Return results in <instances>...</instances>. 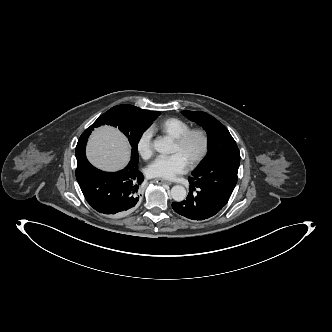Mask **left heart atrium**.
<instances>
[{
  "mask_svg": "<svg viewBox=\"0 0 332 332\" xmlns=\"http://www.w3.org/2000/svg\"><path fill=\"white\" fill-rule=\"evenodd\" d=\"M188 162L179 153L171 156H159L148 167L147 175L151 178L164 180L174 179L187 170Z\"/></svg>",
  "mask_w": 332,
  "mask_h": 332,
  "instance_id": "obj_1",
  "label": "left heart atrium"
}]
</instances>
